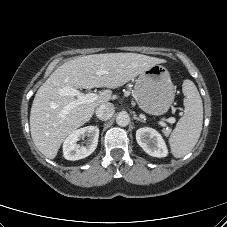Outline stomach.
<instances>
[{"instance_id": "0dacf381", "label": "stomach", "mask_w": 227, "mask_h": 227, "mask_svg": "<svg viewBox=\"0 0 227 227\" xmlns=\"http://www.w3.org/2000/svg\"><path fill=\"white\" fill-rule=\"evenodd\" d=\"M138 106L151 115L168 112L175 98V86L168 70L162 65H153L136 79L133 92Z\"/></svg>"}]
</instances>
